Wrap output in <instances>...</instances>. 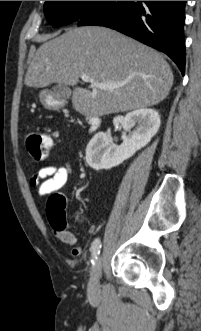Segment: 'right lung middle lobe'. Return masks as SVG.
Segmentation results:
<instances>
[{
    "label": "right lung middle lobe",
    "mask_w": 201,
    "mask_h": 331,
    "mask_svg": "<svg viewBox=\"0 0 201 331\" xmlns=\"http://www.w3.org/2000/svg\"><path fill=\"white\" fill-rule=\"evenodd\" d=\"M102 2L104 1H46L44 13L50 24L62 26L79 21Z\"/></svg>",
    "instance_id": "1"
}]
</instances>
